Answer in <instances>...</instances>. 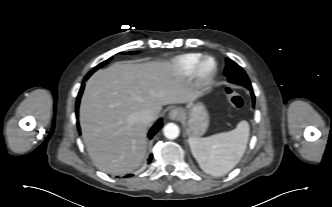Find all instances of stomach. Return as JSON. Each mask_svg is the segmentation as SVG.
<instances>
[{"label": "stomach", "mask_w": 332, "mask_h": 207, "mask_svg": "<svg viewBox=\"0 0 332 207\" xmlns=\"http://www.w3.org/2000/svg\"><path fill=\"white\" fill-rule=\"evenodd\" d=\"M183 123L191 137L203 135L209 125V115L202 103L190 104L188 112H184Z\"/></svg>", "instance_id": "stomach-1"}]
</instances>
